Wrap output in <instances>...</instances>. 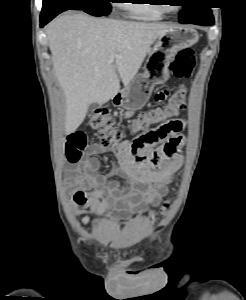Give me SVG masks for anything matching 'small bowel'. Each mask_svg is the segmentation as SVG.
<instances>
[{
    "mask_svg": "<svg viewBox=\"0 0 246 300\" xmlns=\"http://www.w3.org/2000/svg\"><path fill=\"white\" fill-rule=\"evenodd\" d=\"M130 115L127 112L124 118ZM178 120L181 123L178 133L147 153L133 151L131 142L125 140L114 151L117 163L106 174L100 173L98 155L113 151L96 143L87 145L83 157L72 162L65 180L72 195L73 213L99 218L111 210L136 213L158 205L183 162L181 148L184 137L180 132L184 122ZM151 157H157L158 162L151 164L143 159ZM116 176L125 177L126 186L114 179Z\"/></svg>",
    "mask_w": 246,
    "mask_h": 300,
    "instance_id": "1",
    "label": "small bowel"
}]
</instances>
